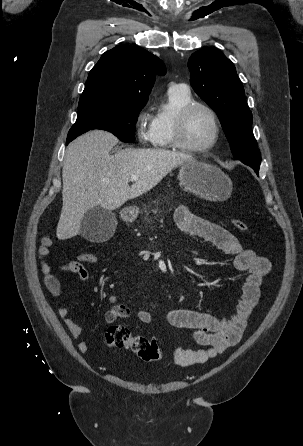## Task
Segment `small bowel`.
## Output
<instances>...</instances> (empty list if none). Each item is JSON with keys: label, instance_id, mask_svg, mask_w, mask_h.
<instances>
[{"label": "small bowel", "instance_id": "small-bowel-1", "mask_svg": "<svg viewBox=\"0 0 303 446\" xmlns=\"http://www.w3.org/2000/svg\"><path fill=\"white\" fill-rule=\"evenodd\" d=\"M175 223L184 233L200 238L215 245L218 249L233 256V265L236 270L247 273L242 288V296L235 311L228 317H217L208 312L188 309H173L168 312L167 319L175 327L189 331L194 340L203 348L183 349L177 348L172 354L173 361L181 366L204 363L207 360L223 353L236 345L244 332L251 313L260 298V286L264 277L270 272V262L267 258L259 256L250 248L240 244L238 239L219 224L199 217L185 206L175 211ZM53 247V240L44 235L40 239L37 256L40 260L44 283L51 295L61 301L58 313L75 339H80L82 328L73 321L68 312V296H63L60 280L52 273L51 266L46 261ZM64 271L75 274V279L68 284L69 289L74 284L84 282L89 278L88 270L77 261H69L62 266ZM120 297L112 294L108 297L110 308L105 312L104 319L111 324L117 319L130 316V308L119 303ZM151 304L137 312V318L143 324L152 321ZM78 349L85 353L90 346L86 340L78 342Z\"/></svg>", "mask_w": 303, "mask_h": 446}]
</instances>
